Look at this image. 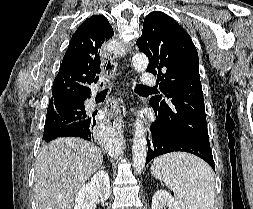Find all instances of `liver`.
Masks as SVG:
<instances>
[{
  "label": "liver",
  "instance_id": "liver-1",
  "mask_svg": "<svg viewBox=\"0 0 253 209\" xmlns=\"http://www.w3.org/2000/svg\"><path fill=\"white\" fill-rule=\"evenodd\" d=\"M102 162L101 150L81 138H58L43 145L35 164L37 209H72L78 190Z\"/></svg>",
  "mask_w": 253,
  "mask_h": 209
}]
</instances>
